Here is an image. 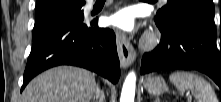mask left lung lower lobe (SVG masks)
Instances as JSON below:
<instances>
[{"instance_id":"left-lung-lower-lobe-1","label":"left lung lower lobe","mask_w":221,"mask_h":102,"mask_svg":"<svg viewBox=\"0 0 221 102\" xmlns=\"http://www.w3.org/2000/svg\"><path fill=\"white\" fill-rule=\"evenodd\" d=\"M157 26L162 35L161 42L155 50L144 54L141 74L194 69L210 76L221 92V47L219 52L215 43L216 31L183 17Z\"/></svg>"}]
</instances>
